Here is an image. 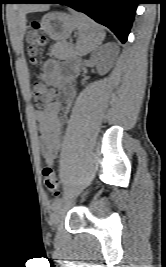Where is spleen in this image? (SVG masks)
Here are the masks:
<instances>
[{
	"label": "spleen",
	"mask_w": 166,
	"mask_h": 267,
	"mask_svg": "<svg viewBox=\"0 0 166 267\" xmlns=\"http://www.w3.org/2000/svg\"><path fill=\"white\" fill-rule=\"evenodd\" d=\"M78 22L79 40L76 45V54L84 56L96 49L104 40L105 32L95 21L82 13L70 10Z\"/></svg>",
	"instance_id": "obj_1"
}]
</instances>
